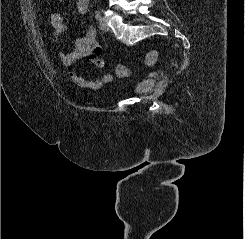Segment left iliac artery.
I'll use <instances>...</instances> for the list:
<instances>
[{
  "instance_id": "1",
  "label": "left iliac artery",
  "mask_w": 245,
  "mask_h": 239,
  "mask_svg": "<svg viewBox=\"0 0 245 239\" xmlns=\"http://www.w3.org/2000/svg\"><path fill=\"white\" fill-rule=\"evenodd\" d=\"M95 18H96L97 20H100L101 14H100V11H99V10H95Z\"/></svg>"
}]
</instances>
